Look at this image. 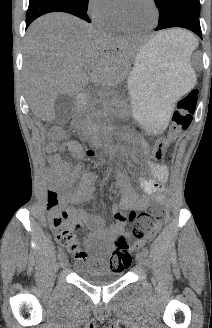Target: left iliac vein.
Returning a JSON list of instances; mask_svg holds the SVG:
<instances>
[{
    "mask_svg": "<svg viewBox=\"0 0 212 328\" xmlns=\"http://www.w3.org/2000/svg\"><path fill=\"white\" fill-rule=\"evenodd\" d=\"M144 261H145V255L143 254V252L137 253V255H136L137 265L140 266V267L143 266Z\"/></svg>",
    "mask_w": 212,
    "mask_h": 328,
    "instance_id": "1",
    "label": "left iliac vein"
}]
</instances>
